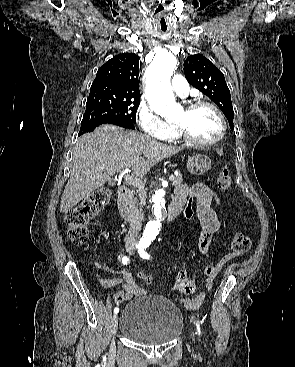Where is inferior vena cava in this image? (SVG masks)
Instances as JSON below:
<instances>
[{"label":"inferior vena cava","instance_id":"602c4592","mask_svg":"<svg viewBox=\"0 0 295 367\" xmlns=\"http://www.w3.org/2000/svg\"><path fill=\"white\" fill-rule=\"evenodd\" d=\"M140 230L141 223L139 218V211L135 206H132L130 216V228L124 240L126 246H133L136 244L137 236Z\"/></svg>","mask_w":295,"mask_h":367}]
</instances>
